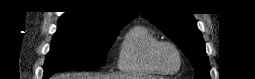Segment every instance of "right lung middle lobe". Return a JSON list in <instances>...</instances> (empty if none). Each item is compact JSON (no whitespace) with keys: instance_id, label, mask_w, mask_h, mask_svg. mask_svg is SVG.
Returning <instances> with one entry per match:
<instances>
[{"instance_id":"1","label":"right lung middle lobe","mask_w":255,"mask_h":79,"mask_svg":"<svg viewBox=\"0 0 255 79\" xmlns=\"http://www.w3.org/2000/svg\"><path fill=\"white\" fill-rule=\"evenodd\" d=\"M116 36L117 31L58 28L46 56L44 78L65 68L103 66L106 63L107 50Z\"/></svg>"}]
</instances>
